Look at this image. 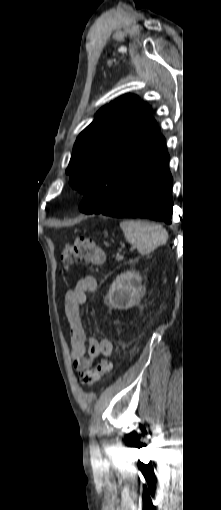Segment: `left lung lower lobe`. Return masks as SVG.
I'll list each match as a JSON object with an SVG mask.
<instances>
[{
    "mask_svg": "<svg viewBox=\"0 0 221 510\" xmlns=\"http://www.w3.org/2000/svg\"><path fill=\"white\" fill-rule=\"evenodd\" d=\"M167 150L154 156L104 208H92L82 201L79 209L86 214L121 218H149L171 223L172 176Z\"/></svg>",
    "mask_w": 221,
    "mask_h": 510,
    "instance_id": "obj_1",
    "label": "left lung lower lobe"
}]
</instances>
